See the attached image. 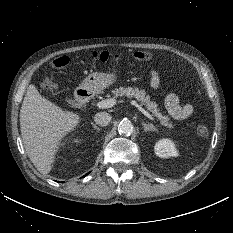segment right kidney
Returning a JSON list of instances; mask_svg holds the SVG:
<instances>
[{
  "label": "right kidney",
  "mask_w": 233,
  "mask_h": 233,
  "mask_svg": "<svg viewBox=\"0 0 233 233\" xmlns=\"http://www.w3.org/2000/svg\"><path fill=\"white\" fill-rule=\"evenodd\" d=\"M74 142H75V143H79V140H78V139H76V140H74Z\"/></svg>",
  "instance_id": "right-kidney-1"
}]
</instances>
